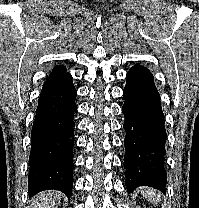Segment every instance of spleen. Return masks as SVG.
<instances>
[{"instance_id": "spleen-1", "label": "spleen", "mask_w": 199, "mask_h": 208, "mask_svg": "<svg viewBox=\"0 0 199 208\" xmlns=\"http://www.w3.org/2000/svg\"><path fill=\"white\" fill-rule=\"evenodd\" d=\"M141 194L151 202L156 203L157 201L160 200L161 195L157 194L155 189H149V190H141Z\"/></svg>"}]
</instances>
